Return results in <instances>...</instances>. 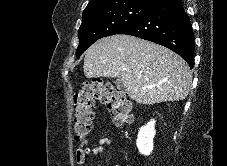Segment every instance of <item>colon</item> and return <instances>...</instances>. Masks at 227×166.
I'll return each mask as SVG.
<instances>
[{"label":"colon","instance_id":"5ec220e1","mask_svg":"<svg viewBox=\"0 0 227 166\" xmlns=\"http://www.w3.org/2000/svg\"><path fill=\"white\" fill-rule=\"evenodd\" d=\"M95 100L108 107L117 127L131 120L132 103L126 95L103 80L94 79L74 94L73 131L77 139L85 138L90 132Z\"/></svg>","mask_w":227,"mask_h":166}]
</instances>
